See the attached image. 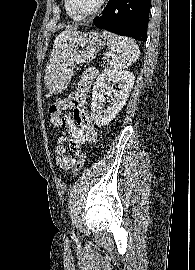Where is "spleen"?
<instances>
[{
	"mask_svg": "<svg viewBox=\"0 0 195 270\" xmlns=\"http://www.w3.org/2000/svg\"><path fill=\"white\" fill-rule=\"evenodd\" d=\"M102 35L112 56L110 68L121 70L137 61L140 50L132 39L108 31H103Z\"/></svg>",
	"mask_w": 195,
	"mask_h": 270,
	"instance_id": "obj_1",
	"label": "spleen"
}]
</instances>
